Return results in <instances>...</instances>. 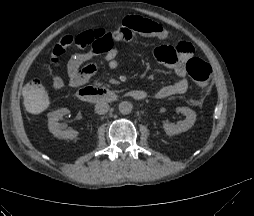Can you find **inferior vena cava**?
<instances>
[{
    "label": "inferior vena cava",
    "mask_w": 254,
    "mask_h": 216,
    "mask_svg": "<svg viewBox=\"0 0 254 216\" xmlns=\"http://www.w3.org/2000/svg\"><path fill=\"white\" fill-rule=\"evenodd\" d=\"M108 103L104 101H100L95 105V112L99 115L106 114L109 111Z\"/></svg>",
    "instance_id": "inferior-vena-cava-1"
}]
</instances>
